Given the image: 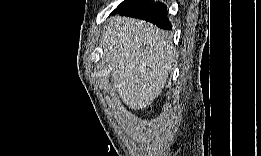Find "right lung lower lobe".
Listing matches in <instances>:
<instances>
[{"label":"right lung lower lobe","instance_id":"98d812e1","mask_svg":"<svg viewBox=\"0 0 261 156\" xmlns=\"http://www.w3.org/2000/svg\"><path fill=\"white\" fill-rule=\"evenodd\" d=\"M121 15L141 18L156 24L159 28L170 30L171 23L167 19V9L161 2L152 3L148 0H133L125 9L119 12Z\"/></svg>","mask_w":261,"mask_h":156}]
</instances>
